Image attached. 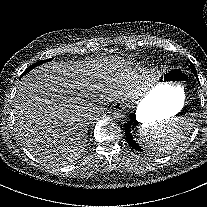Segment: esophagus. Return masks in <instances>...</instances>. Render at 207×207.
Segmentation results:
<instances>
[{"label":"esophagus","instance_id":"1","mask_svg":"<svg viewBox=\"0 0 207 207\" xmlns=\"http://www.w3.org/2000/svg\"><path fill=\"white\" fill-rule=\"evenodd\" d=\"M114 106H115L117 109H120L121 107H122V108L124 107V104H123L120 100H117V101L114 103Z\"/></svg>","mask_w":207,"mask_h":207}]
</instances>
